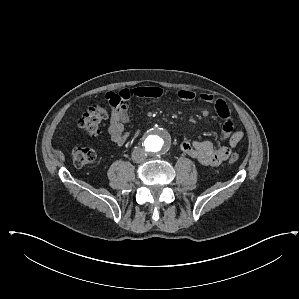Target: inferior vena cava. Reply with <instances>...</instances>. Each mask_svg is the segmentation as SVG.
<instances>
[{
  "label": "inferior vena cava",
  "instance_id": "1",
  "mask_svg": "<svg viewBox=\"0 0 299 299\" xmlns=\"http://www.w3.org/2000/svg\"><path fill=\"white\" fill-rule=\"evenodd\" d=\"M131 157L135 163H142L146 159V153L144 149L136 148L133 150Z\"/></svg>",
  "mask_w": 299,
  "mask_h": 299
}]
</instances>
